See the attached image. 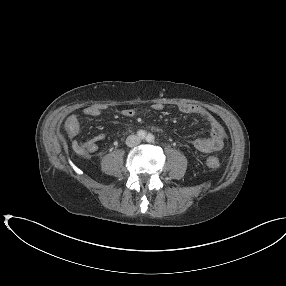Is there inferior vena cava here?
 I'll return each mask as SVG.
<instances>
[{
  "mask_svg": "<svg viewBox=\"0 0 286 286\" xmlns=\"http://www.w3.org/2000/svg\"><path fill=\"white\" fill-rule=\"evenodd\" d=\"M139 143H140V139L136 135H130L127 137V140H126L127 146L134 147L138 145Z\"/></svg>",
  "mask_w": 286,
  "mask_h": 286,
  "instance_id": "1",
  "label": "inferior vena cava"
}]
</instances>
